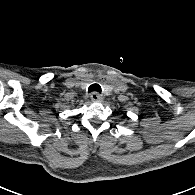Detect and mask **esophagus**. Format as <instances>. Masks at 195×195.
Masks as SVG:
<instances>
[{
    "instance_id": "esophagus-1",
    "label": "esophagus",
    "mask_w": 195,
    "mask_h": 195,
    "mask_svg": "<svg viewBox=\"0 0 195 195\" xmlns=\"http://www.w3.org/2000/svg\"><path fill=\"white\" fill-rule=\"evenodd\" d=\"M90 98L93 102H101L103 100V97L96 92H93L90 95Z\"/></svg>"
}]
</instances>
